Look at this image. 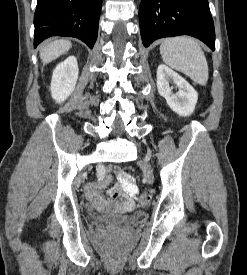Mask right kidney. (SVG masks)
Segmentation results:
<instances>
[{"label":"right kidney","instance_id":"ca27d5eb","mask_svg":"<svg viewBox=\"0 0 247 275\" xmlns=\"http://www.w3.org/2000/svg\"><path fill=\"white\" fill-rule=\"evenodd\" d=\"M79 69L77 59L69 56L55 68L51 81V96L57 103L64 102L74 91Z\"/></svg>","mask_w":247,"mask_h":275}]
</instances>
